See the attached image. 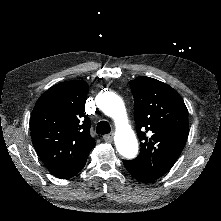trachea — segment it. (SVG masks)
<instances>
[{
	"instance_id": "3493384b",
	"label": "trachea",
	"mask_w": 221,
	"mask_h": 221,
	"mask_svg": "<svg viewBox=\"0 0 221 221\" xmlns=\"http://www.w3.org/2000/svg\"><path fill=\"white\" fill-rule=\"evenodd\" d=\"M110 131H111V127H110V124L107 121H100L97 124V127H96V133L97 134L104 135V134L110 133Z\"/></svg>"
}]
</instances>
